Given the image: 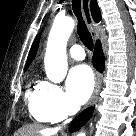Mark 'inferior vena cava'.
<instances>
[{
	"mask_svg": "<svg viewBox=\"0 0 136 136\" xmlns=\"http://www.w3.org/2000/svg\"><path fill=\"white\" fill-rule=\"evenodd\" d=\"M78 111H79V107L78 106H69L68 107V114L71 115V116L74 115V114H76ZM69 121L70 120H67L66 122H69Z\"/></svg>",
	"mask_w": 136,
	"mask_h": 136,
	"instance_id": "inferior-vena-cava-1",
	"label": "inferior vena cava"
}]
</instances>
